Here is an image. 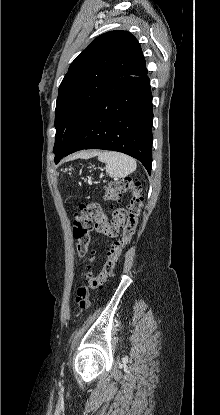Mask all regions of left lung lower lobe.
<instances>
[{
    "instance_id": "0a47b994",
    "label": "left lung lower lobe",
    "mask_w": 220,
    "mask_h": 415,
    "mask_svg": "<svg viewBox=\"0 0 220 415\" xmlns=\"http://www.w3.org/2000/svg\"><path fill=\"white\" fill-rule=\"evenodd\" d=\"M152 94L146 67L114 80L94 105L70 147L55 163L83 149L113 150L152 168Z\"/></svg>"
}]
</instances>
